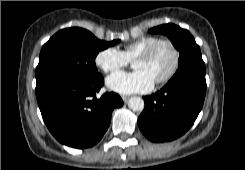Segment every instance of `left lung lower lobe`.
<instances>
[{
	"label": "left lung lower lobe",
	"mask_w": 245,
	"mask_h": 170,
	"mask_svg": "<svg viewBox=\"0 0 245 170\" xmlns=\"http://www.w3.org/2000/svg\"><path fill=\"white\" fill-rule=\"evenodd\" d=\"M206 94L205 74L185 72L150 96L138 118L141 132L152 142H167L187 132L202 109Z\"/></svg>",
	"instance_id": "0a47b994"
}]
</instances>
